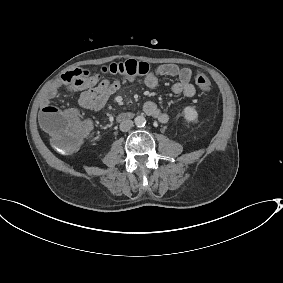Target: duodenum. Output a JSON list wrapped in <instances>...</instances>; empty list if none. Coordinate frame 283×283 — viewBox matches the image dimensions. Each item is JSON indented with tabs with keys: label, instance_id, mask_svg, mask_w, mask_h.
<instances>
[{
	"label": "duodenum",
	"instance_id": "410a0bca",
	"mask_svg": "<svg viewBox=\"0 0 283 283\" xmlns=\"http://www.w3.org/2000/svg\"><path fill=\"white\" fill-rule=\"evenodd\" d=\"M127 118H128L127 115H120V116H118V121H124V120H126Z\"/></svg>",
	"mask_w": 283,
	"mask_h": 283
}]
</instances>
